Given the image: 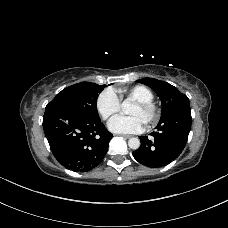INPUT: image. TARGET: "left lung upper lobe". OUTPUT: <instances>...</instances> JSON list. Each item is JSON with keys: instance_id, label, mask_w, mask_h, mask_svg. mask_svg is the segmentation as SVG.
Segmentation results:
<instances>
[{"instance_id": "obj_1", "label": "left lung upper lobe", "mask_w": 228, "mask_h": 228, "mask_svg": "<svg viewBox=\"0 0 228 228\" xmlns=\"http://www.w3.org/2000/svg\"><path fill=\"white\" fill-rule=\"evenodd\" d=\"M137 82L149 86L160 97L162 102V115L160 120L172 115L175 117L174 123H181V108L190 107L189 99L185 94L181 93L171 84L157 79L143 78L137 80Z\"/></svg>"}]
</instances>
